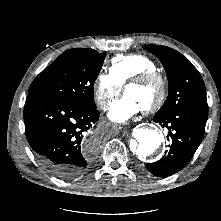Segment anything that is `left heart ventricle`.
I'll use <instances>...</instances> for the list:
<instances>
[{
    "mask_svg": "<svg viewBox=\"0 0 221 221\" xmlns=\"http://www.w3.org/2000/svg\"><path fill=\"white\" fill-rule=\"evenodd\" d=\"M125 94L133 98L142 108H144L156 99L158 89L155 85H135L129 86L125 90Z\"/></svg>",
    "mask_w": 221,
    "mask_h": 221,
    "instance_id": "left-heart-ventricle-1",
    "label": "left heart ventricle"
}]
</instances>
